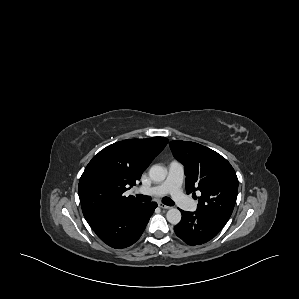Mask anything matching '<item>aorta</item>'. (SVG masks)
<instances>
[{"instance_id":"aorta-1","label":"aorta","mask_w":299,"mask_h":299,"mask_svg":"<svg viewBox=\"0 0 299 299\" xmlns=\"http://www.w3.org/2000/svg\"><path fill=\"white\" fill-rule=\"evenodd\" d=\"M166 170L160 165H153L149 170V177L154 182H162L166 178ZM166 218L171 224H178L181 221V212L176 208H171L166 213Z\"/></svg>"}]
</instances>
